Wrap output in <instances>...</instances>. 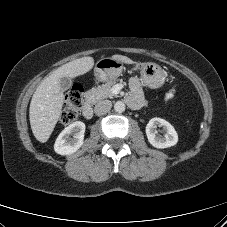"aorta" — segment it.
Wrapping results in <instances>:
<instances>
[{"mask_svg": "<svg viewBox=\"0 0 227 227\" xmlns=\"http://www.w3.org/2000/svg\"><path fill=\"white\" fill-rule=\"evenodd\" d=\"M114 110L118 113H122L125 111V104L122 101H117L114 104Z\"/></svg>", "mask_w": 227, "mask_h": 227, "instance_id": "obj_1", "label": "aorta"}]
</instances>
